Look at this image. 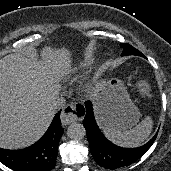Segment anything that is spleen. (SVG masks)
Returning <instances> with one entry per match:
<instances>
[{
    "label": "spleen",
    "instance_id": "spleen-1",
    "mask_svg": "<svg viewBox=\"0 0 171 171\" xmlns=\"http://www.w3.org/2000/svg\"><path fill=\"white\" fill-rule=\"evenodd\" d=\"M105 136L113 143L123 147H138L144 143L153 128V121L148 116L131 130H120L107 124L99 123Z\"/></svg>",
    "mask_w": 171,
    "mask_h": 171
}]
</instances>
